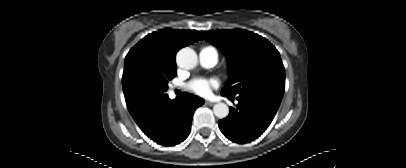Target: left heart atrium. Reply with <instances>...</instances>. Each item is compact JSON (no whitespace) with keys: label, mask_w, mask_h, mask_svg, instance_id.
I'll return each mask as SVG.
<instances>
[{"label":"left heart atrium","mask_w":406,"mask_h":168,"mask_svg":"<svg viewBox=\"0 0 406 168\" xmlns=\"http://www.w3.org/2000/svg\"><path fill=\"white\" fill-rule=\"evenodd\" d=\"M216 86V80L207 78H195L189 84L190 90L199 96H208L211 89Z\"/></svg>","instance_id":"obj_1"}]
</instances>
